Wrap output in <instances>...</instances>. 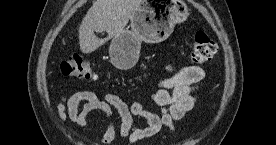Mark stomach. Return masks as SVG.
<instances>
[{
    "label": "stomach",
    "mask_w": 276,
    "mask_h": 145,
    "mask_svg": "<svg viewBox=\"0 0 276 145\" xmlns=\"http://www.w3.org/2000/svg\"><path fill=\"white\" fill-rule=\"evenodd\" d=\"M188 15L187 6L177 0H140L130 18L131 28L111 41L112 64L120 70L131 69L139 58L142 41L154 44L166 40Z\"/></svg>",
    "instance_id": "0dacf381"
}]
</instances>
